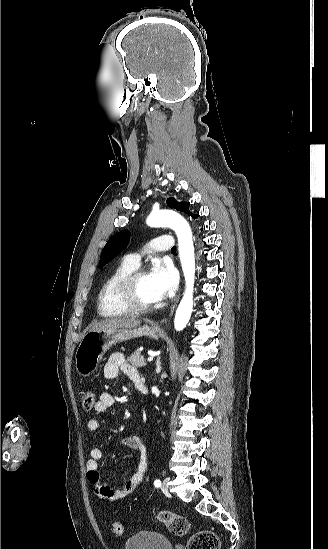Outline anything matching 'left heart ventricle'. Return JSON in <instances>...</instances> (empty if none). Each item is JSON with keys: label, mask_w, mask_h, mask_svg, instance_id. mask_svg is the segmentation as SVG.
I'll return each mask as SVG.
<instances>
[{"label": "left heart ventricle", "mask_w": 328, "mask_h": 549, "mask_svg": "<svg viewBox=\"0 0 328 549\" xmlns=\"http://www.w3.org/2000/svg\"><path fill=\"white\" fill-rule=\"evenodd\" d=\"M155 267V266H154ZM134 295L137 299L145 303L156 302L152 295L149 274L141 276L134 286Z\"/></svg>", "instance_id": "1"}]
</instances>
